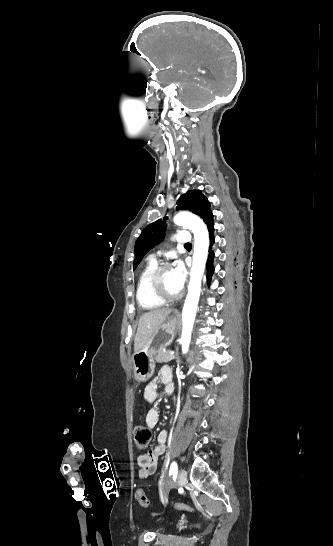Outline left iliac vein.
<instances>
[{"label":"left iliac vein","mask_w":333,"mask_h":546,"mask_svg":"<svg viewBox=\"0 0 333 546\" xmlns=\"http://www.w3.org/2000/svg\"><path fill=\"white\" fill-rule=\"evenodd\" d=\"M186 478H187L186 470L185 469H180L179 472H178V477H177L178 483L180 485L184 484L185 481H186ZM174 486H175V484L173 482H171L166 486V489L170 490Z\"/></svg>","instance_id":"obj_1"}]
</instances>
